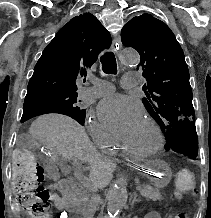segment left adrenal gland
Returning a JSON list of instances; mask_svg holds the SVG:
<instances>
[{
  "label": "left adrenal gland",
  "instance_id": "left-adrenal-gland-1",
  "mask_svg": "<svg viewBox=\"0 0 211 218\" xmlns=\"http://www.w3.org/2000/svg\"><path fill=\"white\" fill-rule=\"evenodd\" d=\"M135 202H140V200H137V194H136V192H134V196H133L132 202H131V204H130V206H132V208H133Z\"/></svg>",
  "mask_w": 211,
  "mask_h": 218
}]
</instances>
